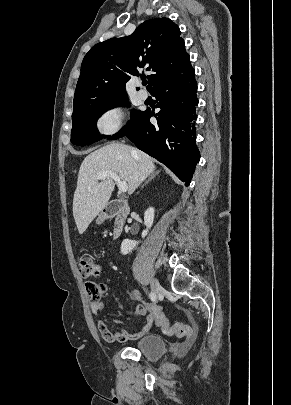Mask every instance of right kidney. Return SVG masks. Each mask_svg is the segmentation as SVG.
<instances>
[{"label": "right kidney", "mask_w": 291, "mask_h": 405, "mask_svg": "<svg viewBox=\"0 0 291 405\" xmlns=\"http://www.w3.org/2000/svg\"><path fill=\"white\" fill-rule=\"evenodd\" d=\"M154 221V208L150 207L146 210L144 214V223L146 229L142 232V238H145L148 234L149 229L152 227ZM139 244L138 241L124 239L121 244V253L126 255L130 253Z\"/></svg>", "instance_id": "right-kidney-1"}]
</instances>
